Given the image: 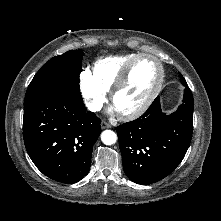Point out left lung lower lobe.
Wrapping results in <instances>:
<instances>
[{
  "mask_svg": "<svg viewBox=\"0 0 221 221\" xmlns=\"http://www.w3.org/2000/svg\"><path fill=\"white\" fill-rule=\"evenodd\" d=\"M178 110L162 112L159 97L138 119L117 127L123 168L141 185L155 183L173 172L184 158L193 131V96L186 83Z\"/></svg>",
  "mask_w": 221,
  "mask_h": 221,
  "instance_id": "obj_1",
  "label": "left lung lower lobe"
}]
</instances>
